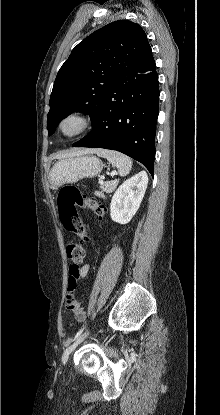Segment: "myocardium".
<instances>
[{"mask_svg": "<svg viewBox=\"0 0 220 415\" xmlns=\"http://www.w3.org/2000/svg\"><path fill=\"white\" fill-rule=\"evenodd\" d=\"M69 123H73L75 128L72 132H66L64 130L65 126ZM94 120L93 117L83 111H73L64 115L58 122L57 131L60 136L65 139H73L81 136L91 129L93 126Z\"/></svg>", "mask_w": 220, "mask_h": 415, "instance_id": "obj_1", "label": "myocardium"}]
</instances>
